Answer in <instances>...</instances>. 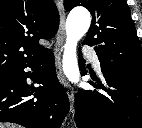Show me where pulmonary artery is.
<instances>
[{"instance_id": "pulmonary-artery-1", "label": "pulmonary artery", "mask_w": 142, "mask_h": 128, "mask_svg": "<svg viewBox=\"0 0 142 128\" xmlns=\"http://www.w3.org/2000/svg\"><path fill=\"white\" fill-rule=\"evenodd\" d=\"M83 52L85 55H87L92 60L95 68L98 71H100L101 70L100 61L98 59L96 52L91 47H88V46H85L83 48Z\"/></svg>"}]
</instances>
